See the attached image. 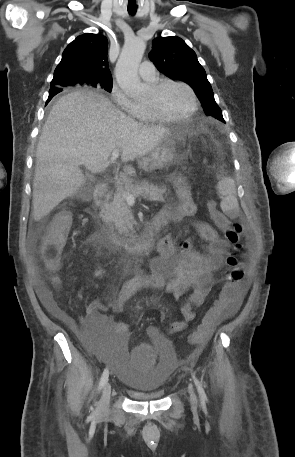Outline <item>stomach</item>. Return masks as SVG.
<instances>
[{"label": "stomach", "mask_w": 295, "mask_h": 457, "mask_svg": "<svg viewBox=\"0 0 295 457\" xmlns=\"http://www.w3.org/2000/svg\"><path fill=\"white\" fill-rule=\"evenodd\" d=\"M202 131L201 124H190L182 131V135L172 132L168 135L158 147L149 154L145 155L138 162L139 166L146 170H156L167 168L172 164L180 162V155L177 152V145L186 135H196Z\"/></svg>", "instance_id": "stomach-1"}]
</instances>
